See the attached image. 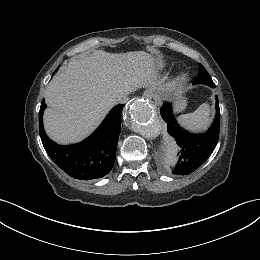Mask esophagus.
I'll return each mask as SVG.
<instances>
[{"label": "esophagus", "instance_id": "1", "mask_svg": "<svg viewBox=\"0 0 260 260\" xmlns=\"http://www.w3.org/2000/svg\"><path fill=\"white\" fill-rule=\"evenodd\" d=\"M143 97L147 98V99H152L153 98V92L151 90H147V91L144 92Z\"/></svg>", "mask_w": 260, "mask_h": 260}]
</instances>
